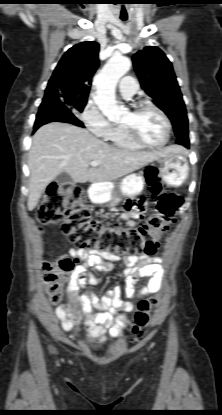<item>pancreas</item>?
Listing matches in <instances>:
<instances>
[{"label": "pancreas", "mask_w": 222, "mask_h": 415, "mask_svg": "<svg viewBox=\"0 0 222 415\" xmlns=\"http://www.w3.org/2000/svg\"><path fill=\"white\" fill-rule=\"evenodd\" d=\"M121 199L117 196V195H113L110 198V201L108 203V207H114L117 205V203L120 201Z\"/></svg>", "instance_id": "pancreas-1"}]
</instances>
